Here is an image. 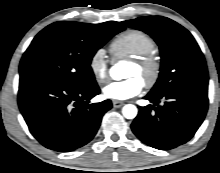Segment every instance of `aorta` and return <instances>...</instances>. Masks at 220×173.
<instances>
[{
  "mask_svg": "<svg viewBox=\"0 0 220 173\" xmlns=\"http://www.w3.org/2000/svg\"><path fill=\"white\" fill-rule=\"evenodd\" d=\"M122 63L114 65L110 69V76L114 80H121L124 77V71L121 67ZM137 108L132 104H127L122 108V114L127 119H134L137 116Z\"/></svg>",
  "mask_w": 220,
  "mask_h": 173,
  "instance_id": "obj_1",
  "label": "aorta"
}]
</instances>
